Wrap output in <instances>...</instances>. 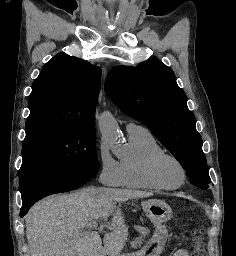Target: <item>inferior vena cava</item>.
<instances>
[{
  "label": "inferior vena cava",
  "mask_w": 236,
  "mask_h": 256,
  "mask_svg": "<svg viewBox=\"0 0 236 256\" xmlns=\"http://www.w3.org/2000/svg\"><path fill=\"white\" fill-rule=\"evenodd\" d=\"M99 190H101V192H107V190H109V188H99Z\"/></svg>",
  "instance_id": "obj_1"
}]
</instances>
